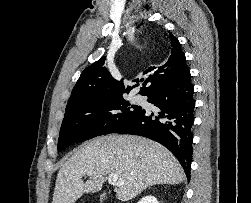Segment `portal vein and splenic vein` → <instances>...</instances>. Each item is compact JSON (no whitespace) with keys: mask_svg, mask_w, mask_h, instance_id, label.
<instances>
[{"mask_svg":"<svg viewBox=\"0 0 251 203\" xmlns=\"http://www.w3.org/2000/svg\"><path fill=\"white\" fill-rule=\"evenodd\" d=\"M88 176H91L92 174L91 173H88L87 174ZM108 182L114 186H121L124 184V180L122 179H119L118 178V175L117 174H114V173H111L109 174V177H108Z\"/></svg>","mask_w":251,"mask_h":203,"instance_id":"18ae733b","label":"portal vein and splenic vein"}]
</instances>
